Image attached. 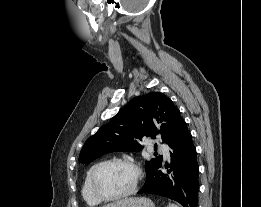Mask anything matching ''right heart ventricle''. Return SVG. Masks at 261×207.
<instances>
[{"label": "right heart ventricle", "mask_w": 261, "mask_h": 207, "mask_svg": "<svg viewBox=\"0 0 261 207\" xmlns=\"http://www.w3.org/2000/svg\"><path fill=\"white\" fill-rule=\"evenodd\" d=\"M100 163L101 162L94 163L93 165H91L89 167V169L87 170V172L85 174L83 184H82V196H83L85 202L89 206H93V207L97 206L101 203V201L99 199H97L94 196V194L92 193L91 186H90L92 172L97 167V165Z\"/></svg>", "instance_id": "e07e8e85"}]
</instances>
